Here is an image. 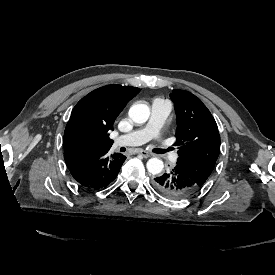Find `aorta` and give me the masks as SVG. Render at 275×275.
<instances>
[{
    "instance_id": "obj_1",
    "label": "aorta",
    "mask_w": 275,
    "mask_h": 275,
    "mask_svg": "<svg viewBox=\"0 0 275 275\" xmlns=\"http://www.w3.org/2000/svg\"><path fill=\"white\" fill-rule=\"evenodd\" d=\"M128 115L135 123H145L149 119L150 109L144 103H135L130 107ZM146 166L148 172L153 175L161 173L164 168L163 161L158 158L149 159Z\"/></svg>"
}]
</instances>
